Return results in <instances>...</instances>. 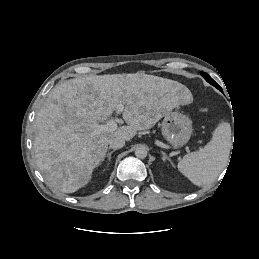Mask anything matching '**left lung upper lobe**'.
Masks as SVG:
<instances>
[{
	"label": "left lung upper lobe",
	"instance_id": "1",
	"mask_svg": "<svg viewBox=\"0 0 259 259\" xmlns=\"http://www.w3.org/2000/svg\"><path fill=\"white\" fill-rule=\"evenodd\" d=\"M201 75L205 78L207 82H209L211 85L215 86L218 89H221L220 86L207 74L204 72H201Z\"/></svg>",
	"mask_w": 259,
	"mask_h": 259
}]
</instances>
